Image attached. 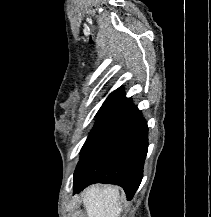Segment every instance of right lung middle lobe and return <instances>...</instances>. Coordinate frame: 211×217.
Returning <instances> with one entry per match:
<instances>
[{
	"label": "right lung middle lobe",
	"instance_id": "obj_1",
	"mask_svg": "<svg viewBox=\"0 0 211 217\" xmlns=\"http://www.w3.org/2000/svg\"><path fill=\"white\" fill-rule=\"evenodd\" d=\"M113 121V119L109 118H97L96 123L91 130L82 150H81V158L85 155V153L89 150L92 144L95 142L97 137L104 131V129ZM80 158V159H81Z\"/></svg>",
	"mask_w": 211,
	"mask_h": 217
}]
</instances>
